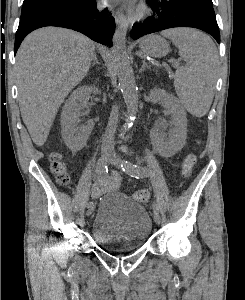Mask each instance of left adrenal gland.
I'll return each instance as SVG.
<instances>
[{
	"mask_svg": "<svg viewBox=\"0 0 245 300\" xmlns=\"http://www.w3.org/2000/svg\"><path fill=\"white\" fill-rule=\"evenodd\" d=\"M146 69H150V66H148L147 63H146V60L143 59V61H142V66H141L139 72L142 73V72H144Z\"/></svg>",
	"mask_w": 245,
	"mask_h": 300,
	"instance_id": "a2214340",
	"label": "left adrenal gland"
}]
</instances>
